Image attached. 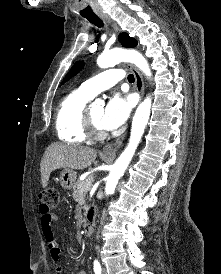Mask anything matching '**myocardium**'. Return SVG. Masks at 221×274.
<instances>
[{
    "instance_id": "myocardium-1",
    "label": "myocardium",
    "mask_w": 221,
    "mask_h": 274,
    "mask_svg": "<svg viewBox=\"0 0 221 274\" xmlns=\"http://www.w3.org/2000/svg\"><path fill=\"white\" fill-rule=\"evenodd\" d=\"M85 125L89 136L97 139L106 136L105 131L92 118L89 108H86L85 111Z\"/></svg>"
}]
</instances>
